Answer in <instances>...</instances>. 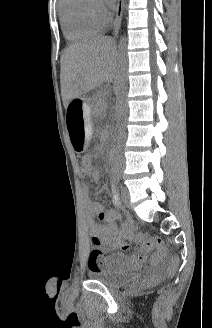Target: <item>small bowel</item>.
<instances>
[{
  "label": "small bowel",
  "instance_id": "obj_1",
  "mask_svg": "<svg viewBox=\"0 0 212 328\" xmlns=\"http://www.w3.org/2000/svg\"><path fill=\"white\" fill-rule=\"evenodd\" d=\"M83 177L90 178L92 182L98 183L101 179L100 173L92 170H81ZM112 202L115 206H120V199L117 189L112 186L111 189ZM83 200L86 210L87 228L93 235L99 237L106 250H110L116 245L120 244L124 239L129 238L132 232V225L130 222L123 223L118 228L116 222L120 219V215L112 210H107L98 202L91 200L89 195L88 185L83 188ZM98 219V221L96 220ZM148 250L138 249L136 253L131 256L124 254H115L111 257L109 265L101 262L88 266L90 270H102L109 267L116 271L127 272L139 269L147 258Z\"/></svg>",
  "mask_w": 212,
  "mask_h": 328
}]
</instances>
